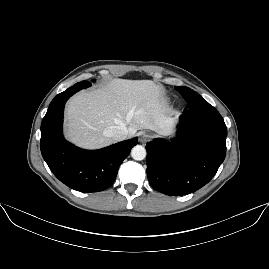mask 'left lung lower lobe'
<instances>
[{
    "label": "left lung lower lobe",
    "mask_w": 269,
    "mask_h": 269,
    "mask_svg": "<svg viewBox=\"0 0 269 269\" xmlns=\"http://www.w3.org/2000/svg\"><path fill=\"white\" fill-rule=\"evenodd\" d=\"M227 128L219 113L180 117L179 137L148 142L147 175L151 186L170 196L188 195L207 184L226 155Z\"/></svg>",
    "instance_id": "left-lung-lower-lobe-1"
}]
</instances>
